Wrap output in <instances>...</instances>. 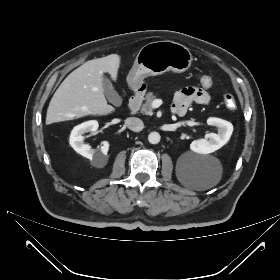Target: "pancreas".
I'll return each instance as SVG.
<instances>
[{"instance_id": "obj_1", "label": "pancreas", "mask_w": 280, "mask_h": 280, "mask_svg": "<svg viewBox=\"0 0 280 280\" xmlns=\"http://www.w3.org/2000/svg\"><path fill=\"white\" fill-rule=\"evenodd\" d=\"M156 99V95H154L152 92H148L145 97V103L141 107V113L145 115H153V108H152V102Z\"/></svg>"}]
</instances>
